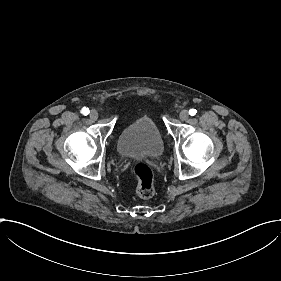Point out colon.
Returning <instances> with one entry per match:
<instances>
[{
	"mask_svg": "<svg viewBox=\"0 0 281 281\" xmlns=\"http://www.w3.org/2000/svg\"><path fill=\"white\" fill-rule=\"evenodd\" d=\"M130 176L136 181L135 192L140 197H148L155 190V176L152 168L143 162L134 163L129 170Z\"/></svg>",
	"mask_w": 281,
	"mask_h": 281,
	"instance_id": "5ec220e1",
	"label": "colon"
}]
</instances>
